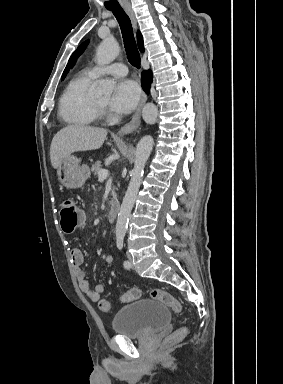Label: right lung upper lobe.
Listing matches in <instances>:
<instances>
[{
	"label": "right lung upper lobe",
	"instance_id": "obj_1",
	"mask_svg": "<svg viewBox=\"0 0 283 384\" xmlns=\"http://www.w3.org/2000/svg\"><path fill=\"white\" fill-rule=\"evenodd\" d=\"M137 39H138V46H139V49L141 52L144 51V47H143V38H142V35L140 32L137 33Z\"/></svg>",
	"mask_w": 283,
	"mask_h": 384
}]
</instances>
